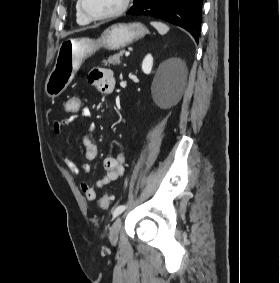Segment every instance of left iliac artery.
I'll list each match as a JSON object with an SVG mask.
<instances>
[{"instance_id": "left-iliac-artery-1", "label": "left iliac artery", "mask_w": 280, "mask_h": 283, "mask_svg": "<svg viewBox=\"0 0 280 283\" xmlns=\"http://www.w3.org/2000/svg\"><path fill=\"white\" fill-rule=\"evenodd\" d=\"M125 209H126L125 205H119L118 207H116L112 213L113 218H116L117 216H119Z\"/></svg>"}]
</instances>
